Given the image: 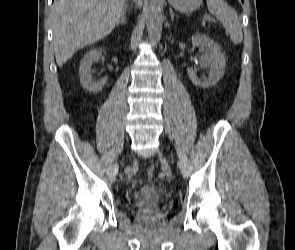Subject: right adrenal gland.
<instances>
[{
    "instance_id": "1",
    "label": "right adrenal gland",
    "mask_w": 295,
    "mask_h": 250,
    "mask_svg": "<svg viewBox=\"0 0 295 250\" xmlns=\"http://www.w3.org/2000/svg\"><path fill=\"white\" fill-rule=\"evenodd\" d=\"M126 9H127V7L125 6V11L123 12V14H122V16H121V19H120V21L118 22V24L125 25V23H126V19H125Z\"/></svg>"
}]
</instances>
